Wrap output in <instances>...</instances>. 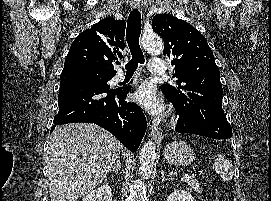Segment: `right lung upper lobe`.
Returning <instances> with one entry per match:
<instances>
[{
  "label": "right lung upper lobe",
  "instance_id": "obj_1",
  "mask_svg": "<svg viewBox=\"0 0 271 201\" xmlns=\"http://www.w3.org/2000/svg\"><path fill=\"white\" fill-rule=\"evenodd\" d=\"M125 28L124 20H100L75 38L64 68H82L88 72L115 75L113 62L123 57Z\"/></svg>",
  "mask_w": 271,
  "mask_h": 201
}]
</instances>
